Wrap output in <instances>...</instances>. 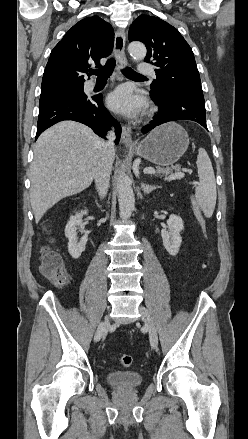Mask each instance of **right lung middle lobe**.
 Listing matches in <instances>:
<instances>
[{
  "label": "right lung middle lobe",
  "instance_id": "right-lung-middle-lobe-1",
  "mask_svg": "<svg viewBox=\"0 0 248 439\" xmlns=\"http://www.w3.org/2000/svg\"><path fill=\"white\" fill-rule=\"evenodd\" d=\"M87 97L85 93H83V87L77 88L74 90L65 91L62 93L46 95L40 97L39 108L48 106L52 103L59 102L65 99L73 98V97Z\"/></svg>",
  "mask_w": 248,
  "mask_h": 439
}]
</instances>
